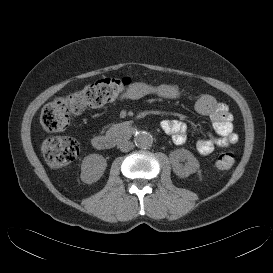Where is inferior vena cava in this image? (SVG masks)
Returning <instances> with one entry per match:
<instances>
[{"label": "inferior vena cava", "instance_id": "1", "mask_svg": "<svg viewBox=\"0 0 273 273\" xmlns=\"http://www.w3.org/2000/svg\"><path fill=\"white\" fill-rule=\"evenodd\" d=\"M133 143L128 140H124L119 144V148L122 152H128L133 148Z\"/></svg>", "mask_w": 273, "mask_h": 273}]
</instances>
